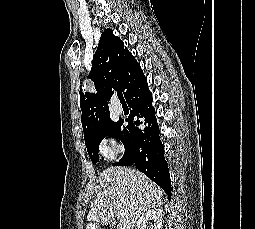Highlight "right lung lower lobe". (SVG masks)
Returning <instances> with one entry per match:
<instances>
[{
	"mask_svg": "<svg viewBox=\"0 0 255 229\" xmlns=\"http://www.w3.org/2000/svg\"><path fill=\"white\" fill-rule=\"evenodd\" d=\"M124 96L131 108L128 125L125 127L131 142V151L117 165H135L158 184L171 200L170 174L159 136V127L154 116L152 95L140 67L133 72Z\"/></svg>",
	"mask_w": 255,
	"mask_h": 229,
	"instance_id": "right-lung-lower-lobe-1",
	"label": "right lung lower lobe"
}]
</instances>
